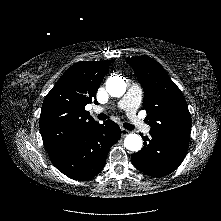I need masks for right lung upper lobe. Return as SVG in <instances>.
Wrapping results in <instances>:
<instances>
[{
	"instance_id": "1",
	"label": "right lung upper lobe",
	"mask_w": 221,
	"mask_h": 221,
	"mask_svg": "<svg viewBox=\"0 0 221 221\" xmlns=\"http://www.w3.org/2000/svg\"><path fill=\"white\" fill-rule=\"evenodd\" d=\"M112 62H77L64 72L46 95L40 114V130L49 155L61 151L98 123L90 117L85 106L96 98L98 87Z\"/></svg>"
}]
</instances>
